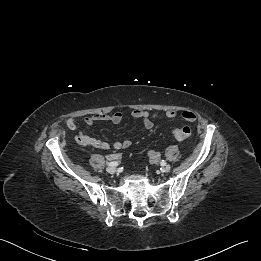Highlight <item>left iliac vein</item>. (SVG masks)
I'll use <instances>...</instances> for the list:
<instances>
[{"label":"left iliac vein","instance_id":"1","mask_svg":"<svg viewBox=\"0 0 261 261\" xmlns=\"http://www.w3.org/2000/svg\"><path fill=\"white\" fill-rule=\"evenodd\" d=\"M171 169V166L169 164L162 165L161 171L166 173L169 172Z\"/></svg>","mask_w":261,"mask_h":261}]
</instances>
